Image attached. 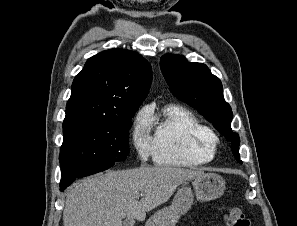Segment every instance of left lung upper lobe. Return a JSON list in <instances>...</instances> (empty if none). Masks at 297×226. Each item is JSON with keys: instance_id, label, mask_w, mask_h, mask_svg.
I'll use <instances>...</instances> for the list:
<instances>
[{"instance_id": "obj_1", "label": "left lung upper lobe", "mask_w": 297, "mask_h": 226, "mask_svg": "<svg viewBox=\"0 0 297 226\" xmlns=\"http://www.w3.org/2000/svg\"><path fill=\"white\" fill-rule=\"evenodd\" d=\"M161 71L172 94L197 109L231 143L236 160L239 155V135L232 131V110L224 100L222 83L202 63L188 62L183 56L164 55L160 60Z\"/></svg>"}]
</instances>
